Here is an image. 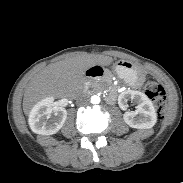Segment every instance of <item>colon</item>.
Masks as SVG:
<instances>
[{
  "instance_id": "colon-1",
  "label": "colon",
  "mask_w": 183,
  "mask_h": 183,
  "mask_svg": "<svg viewBox=\"0 0 183 183\" xmlns=\"http://www.w3.org/2000/svg\"><path fill=\"white\" fill-rule=\"evenodd\" d=\"M145 94L154 102L159 117L164 115L166 109V92L157 81L148 79L144 83Z\"/></svg>"
}]
</instances>
